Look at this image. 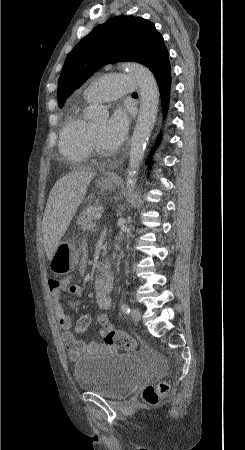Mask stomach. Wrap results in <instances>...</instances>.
Returning a JSON list of instances; mask_svg holds the SVG:
<instances>
[{"instance_id": "0dacf381", "label": "stomach", "mask_w": 245, "mask_h": 450, "mask_svg": "<svg viewBox=\"0 0 245 450\" xmlns=\"http://www.w3.org/2000/svg\"><path fill=\"white\" fill-rule=\"evenodd\" d=\"M98 186L111 190L114 188V183L110 180L101 179L98 181ZM78 261L79 254L75 246L70 242H61L50 260V269L56 274H68L75 269Z\"/></svg>"}]
</instances>
